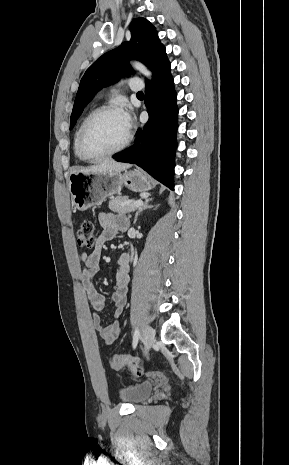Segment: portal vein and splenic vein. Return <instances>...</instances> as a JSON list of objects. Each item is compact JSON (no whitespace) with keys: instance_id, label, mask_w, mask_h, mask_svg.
<instances>
[{"instance_id":"1","label":"portal vein and splenic vein","mask_w":289,"mask_h":465,"mask_svg":"<svg viewBox=\"0 0 289 465\" xmlns=\"http://www.w3.org/2000/svg\"><path fill=\"white\" fill-rule=\"evenodd\" d=\"M142 204H143V201H142V200H137V201H134L133 206L139 207V206H141Z\"/></svg>"}]
</instances>
